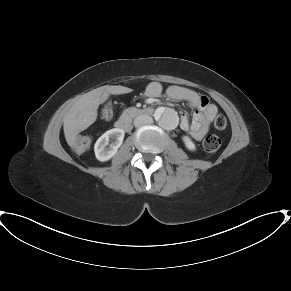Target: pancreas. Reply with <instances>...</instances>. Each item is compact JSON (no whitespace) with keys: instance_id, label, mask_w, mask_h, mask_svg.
Here are the masks:
<instances>
[{"instance_id":"pancreas-1","label":"pancreas","mask_w":291,"mask_h":291,"mask_svg":"<svg viewBox=\"0 0 291 291\" xmlns=\"http://www.w3.org/2000/svg\"><path fill=\"white\" fill-rule=\"evenodd\" d=\"M129 110H130V109H127V110L125 111V113H126V112H129Z\"/></svg>"}]
</instances>
